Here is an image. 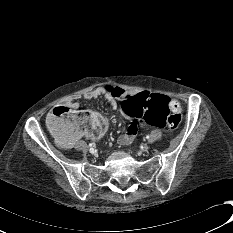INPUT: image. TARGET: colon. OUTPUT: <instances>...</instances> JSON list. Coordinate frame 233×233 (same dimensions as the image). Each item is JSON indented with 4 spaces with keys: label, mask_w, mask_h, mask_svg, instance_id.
<instances>
[{
    "label": "colon",
    "mask_w": 233,
    "mask_h": 233,
    "mask_svg": "<svg viewBox=\"0 0 233 233\" xmlns=\"http://www.w3.org/2000/svg\"><path fill=\"white\" fill-rule=\"evenodd\" d=\"M120 113L127 118H142V123L158 128L176 130L182 121L180 104L170 98L154 93H140L136 97L124 98L119 105ZM72 111L66 105L55 106L49 117L48 126L55 136L96 133L104 123L92 112L82 111L76 120H71ZM88 134V133H87Z\"/></svg>",
    "instance_id": "1"
}]
</instances>
